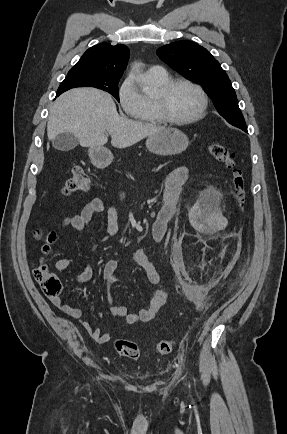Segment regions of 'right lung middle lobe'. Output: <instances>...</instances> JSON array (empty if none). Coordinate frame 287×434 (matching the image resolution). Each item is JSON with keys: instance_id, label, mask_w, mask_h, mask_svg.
<instances>
[{"instance_id": "obj_1", "label": "right lung middle lobe", "mask_w": 287, "mask_h": 434, "mask_svg": "<svg viewBox=\"0 0 287 434\" xmlns=\"http://www.w3.org/2000/svg\"><path fill=\"white\" fill-rule=\"evenodd\" d=\"M120 78L92 76L78 72H68L57 90V96L75 87H95L113 95L119 101L118 83Z\"/></svg>"}]
</instances>
